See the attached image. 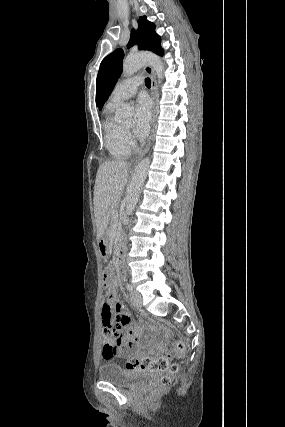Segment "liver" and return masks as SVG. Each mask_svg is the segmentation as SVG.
I'll use <instances>...</instances> for the list:
<instances>
[{
	"instance_id": "obj_1",
	"label": "liver",
	"mask_w": 285,
	"mask_h": 427,
	"mask_svg": "<svg viewBox=\"0 0 285 427\" xmlns=\"http://www.w3.org/2000/svg\"><path fill=\"white\" fill-rule=\"evenodd\" d=\"M129 164L123 161L102 163L94 186V213L97 235H104L110 217L119 206L128 179Z\"/></svg>"
}]
</instances>
